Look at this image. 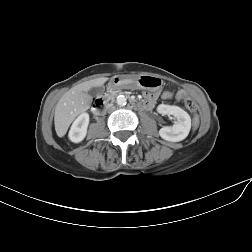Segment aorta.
Wrapping results in <instances>:
<instances>
[{
  "label": "aorta",
  "instance_id": "obj_1",
  "mask_svg": "<svg viewBox=\"0 0 252 252\" xmlns=\"http://www.w3.org/2000/svg\"><path fill=\"white\" fill-rule=\"evenodd\" d=\"M116 102L118 105L123 106V105H126L127 99L124 95H119L116 99Z\"/></svg>",
  "mask_w": 252,
  "mask_h": 252
}]
</instances>
